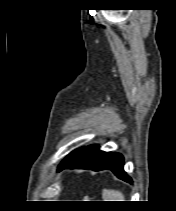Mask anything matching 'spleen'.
<instances>
[{
    "mask_svg": "<svg viewBox=\"0 0 176 211\" xmlns=\"http://www.w3.org/2000/svg\"><path fill=\"white\" fill-rule=\"evenodd\" d=\"M102 198L103 201H125L123 193L113 189H103Z\"/></svg>",
    "mask_w": 176,
    "mask_h": 211,
    "instance_id": "obj_1",
    "label": "spleen"
}]
</instances>
